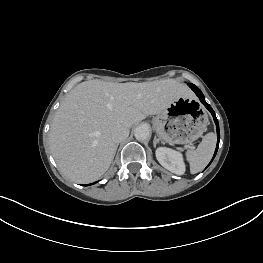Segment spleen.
<instances>
[{
    "instance_id": "obj_1",
    "label": "spleen",
    "mask_w": 263,
    "mask_h": 263,
    "mask_svg": "<svg viewBox=\"0 0 263 263\" xmlns=\"http://www.w3.org/2000/svg\"><path fill=\"white\" fill-rule=\"evenodd\" d=\"M215 145L216 136L211 132L203 137L197 149L186 152L192 174L200 172L207 165L214 153Z\"/></svg>"
}]
</instances>
